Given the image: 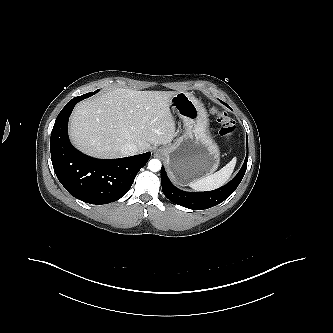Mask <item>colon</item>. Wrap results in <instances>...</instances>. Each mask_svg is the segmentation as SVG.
I'll return each instance as SVG.
<instances>
[{
	"label": "colon",
	"mask_w": 333,
	"mask_h": 333,
	"mask_svg": "<svg viewBox=\"0 0 333 333\" xmlns=\"http://www.w3.org/2000/svg\"><path fill=\"white\" fill-rule=\"evenodd\" d=\"M210 111L216 116L217 121L221 124L220 134L225 139H230L237 131L235 121L224 111L210 106Z\"/></svg>",
	"instance_id": "obj_1"
}]
</instances>
